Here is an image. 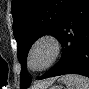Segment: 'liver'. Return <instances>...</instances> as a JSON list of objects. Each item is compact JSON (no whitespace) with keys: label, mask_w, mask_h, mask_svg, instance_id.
<instances>
[{"label":"liver","mask_w":89,"mask_h":89,"mask_svg":"<svg viewBox=\"0 0 89 89\" xmlns=\"http://www.w3.org/2000/svg\"><path fill=\"white\" fill-rule=\"evenodd\" d=\"M55 80L56 78L48 79L47 81H44L41 85L34 86L35 88L32 89H47L52 83H54Z\"/></svg>","instance_id":"1"}]
</instances>
